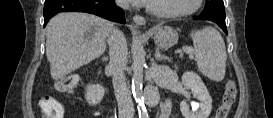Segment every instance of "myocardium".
<instances>
[{
	"instance_id": "myocardium-1",
	"label": "myocardium",
	"mask_w": 273,
	"mask_h": 118,
	"mask_svg": "<svg viewBox=\"0 0 273 118\" xmlns=\"http://www.w3.org/2000/svg\"><path fill=\"white\" fill-rule=\"evenodd\" d=\"M203 3V0H194V3L191 8L184 11H171V12H161L156 10L151 4L147 5V10L154 16L163 18V19H174L184 16L191 15L199 10Z\"/></svg>"
}]
</instances>
